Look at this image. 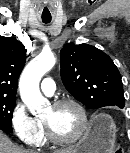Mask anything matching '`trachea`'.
Wrapping results in <instances>:
<instances>
[{
  "instance_id": "3493384b",
  "label": "trachea",
  "mask_w": 130,
  "mask_h": 153,
  "mask_svg": "<svg viewBox=\"0 0 130 153\" xmlns=\"http://www.w3.org/2000/svg\"><path fill=\"white\" fill-rule=\"evenodd\" d=\"M42 22L47 24V23L51 22V18H42Z\"/></svg>"
}]
</instances>
